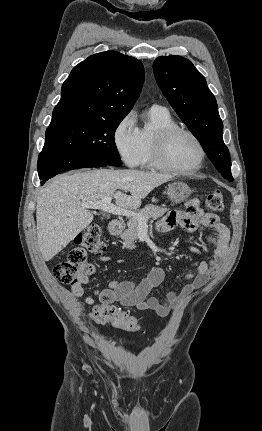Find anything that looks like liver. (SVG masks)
Returning <instances> with one entry per match:
<instances>
[{"label":"liver","mask_w":262,"mask_h":431,"mask_svg":"<svg viewBox=\"0 0 262 431\" xmlns=\"http://www.w3.org/2000/svg\"><path fill=\"white\" fill-rule=\"evenodd\" d=\"M171 178L132 169H94L57 176L40 190L37 199V239L43 259L51 260L93 221L83 202L111 197L118 207L134 210L154 188Z\"/></svg>","instance_id":"1"}]
</instances>
